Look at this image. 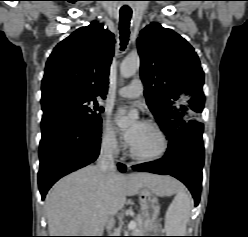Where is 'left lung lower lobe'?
<instances>
[{"label":"left lung lower lobe","mask_w":248,"mask_h":237,"mask_svg":"<svg viewBox=\"0 0 248 237\" xmlns=\"http://www.w3.org/2000/svg\"><path fill=\"white\" fill-rule=\"evenodd\" d=\"M202 132L203 124L199 121L182 125L170 138L162 159L136 165L133 169L171 175L179 179L188 187L198 205L204 164Z\"/></svg>","instance_id":"left-lung-lower-lobe-1"}]
</instances>
